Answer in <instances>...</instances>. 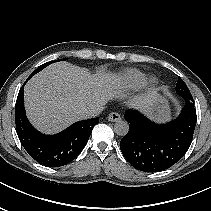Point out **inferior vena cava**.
Returning <instances> with one entry per match:
<instances>
[{"instance_id": "inferior-vena-cava-1", "label": "inferior vena cava", "mask_w": 211, "mask_h": 211, "mask_svg": "<svg viewBox=\"0 0 211 211\" xmlns=\"http://www.w3.org/2000/svg\"><path fill=\"white\" fill-rule=\"evenodd\" d=\"M103 105H94L88 109H86L83 113L85 118H93L98 116L103 111Z\"/></svg>"}]
</instances>
